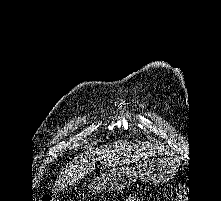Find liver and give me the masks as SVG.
I'll return each mask as SVG.
<instances>
[{
  "label": "liver",
  "instance_id": "6515ba94",
  "mask_svg": "<svg viewBox=\"0 0 221 201\" xmlns=\"http://www.w3.org/2000/svg\"><path fill=\"white\" fill-rule=\"evenodd\" d=\"M154 151L155 148L149 144L136 145L126 141L112 142L99 148L89 149L66 164L55 184V190L64 189L79 181L95 169L97 162L105 168L115 167L132 163Z\"/></svg>",
  "mask_w": 221,
  "mask_h": 201
}]
</instances>
